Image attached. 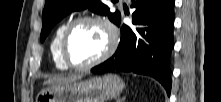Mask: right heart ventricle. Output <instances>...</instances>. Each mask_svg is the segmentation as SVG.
Masks as SVG:
<instances>
[{
	"label": "right heart ventricle",
	"instance_id": "right-heart-ventricle-1",
	"mask_svg": "<svg viewBox=\"0 0 221 102\" xmlns=\"http://www.w3.org/2000/svg\"><path fill=\"white\" fill-rule=\"evenodd\" d=\"M70 21H63L56 29L51 42H50V53L55 67L59 70H67L68 67L65 65L60 54V42L63 36V32Z\"/></svg>",
	"mask_w": 221,
	"mask_h": 102
}]
</instances>
